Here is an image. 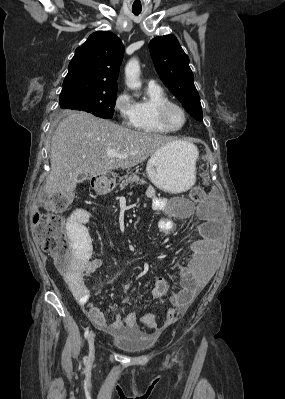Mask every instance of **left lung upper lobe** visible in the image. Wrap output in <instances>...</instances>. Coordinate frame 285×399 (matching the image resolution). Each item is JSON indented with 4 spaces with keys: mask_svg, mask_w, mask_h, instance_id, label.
Returning a JSON list of instances; mask_svg holds the SVG:
<instances>
[{
    "mask_svg": "<svg viewBox=\"0 0 285 399\" xmlns=\"http://www.w3.org/2000/svg\"><path fill=\"white\" fill-rule=\"evenodd\" d=\"M149 50L164 85L192 117L202 121V107L189 67V58L177 38L173 35L156 37L150 41Z\"/></svg>",
    "mask_w": 285,
    "mask_h": 399,
    "instance_id": "5c2ea615",
    "label": "left lung upper lobe"
}]
</instances>
